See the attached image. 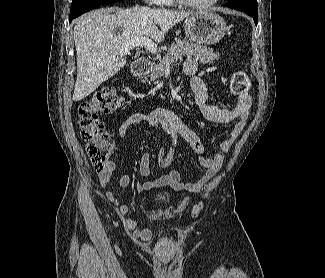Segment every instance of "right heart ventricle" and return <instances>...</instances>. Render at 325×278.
Wrapping results in <instances>:
<instances>
[{
  "mask_svg": "<svg viewBox=\"0 0 325 278\" xmlns=\"http://www.w3.org/2000/svg\"><path fill=\"white\" fill-rule=\"evenodd\" d=\"M174 0H164L163 3L167 4V5H171L173 3Z\"/></svg>",
  "mask_w": 325,
  "mask_h": 278,
  "instance_id": "right-heart-ventricle-1",
  "label": "right heart ventricle"
}]
</instances>
